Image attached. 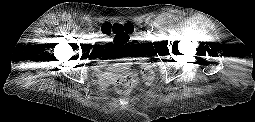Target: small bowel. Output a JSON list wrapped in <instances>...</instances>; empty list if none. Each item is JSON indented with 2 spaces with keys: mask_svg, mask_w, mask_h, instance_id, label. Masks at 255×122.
<instances>
[{
  "mask_svg": "<svg viewBox=\"0 0 255 122\" xmlns=\"http://www.w3.org/2000/svg\"><path fill=\"white\" fill-rule=\"evenodd\" d=\"M111 25V23H105L101 27L100 31V36H104L105 34L102 31V28L104 25ZM110 36L108 39L104 40L105 43H103V50L101 57L103 59H106L109 56V51L112 50L113 48H122L124 46H127L129 44V37L124 36L122 34L116 35V34H111L108 35ZM124 68V64L120 63L112 68H110L107 72V77H112L114 76V72H118Z\"/></svg>",
  "mask_w": 255,
  "mask_h": 122,
  "instance_id": "small-bowel-1",
  "label": "small bowel"
}]
</instances>
